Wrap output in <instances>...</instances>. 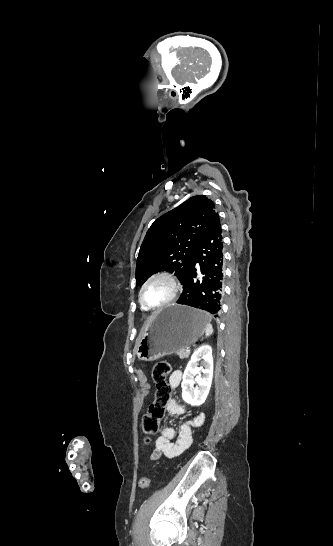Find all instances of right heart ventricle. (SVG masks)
Instances as JSON below:
<instances>
[{"label":"right heart ventricle","mask_w":333,"mask_h":546,"mask_svg":"<svg viewBox=\"0 0 333 546\" xmlns=\"http://www.w3.org/2000/svg\"><path fill=\"white\" fill-rule=\"evenodd\" d=\"M142 308H143L144 310H147V308H145L143 305H142Z\"/></svg>","instance_id":"e07e8e85"}]
</instances>
